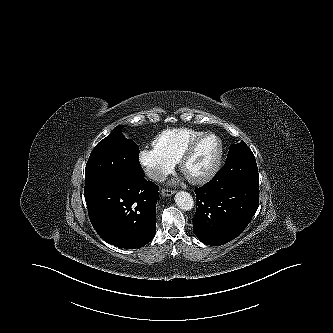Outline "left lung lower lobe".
<instances>
[{
    "label": "left lung lower lobe",
    "instance_id": "1",
    "mask_svg": "<svg viewBox=\"0 0 333 333\" xmlns=\"http://www.w3.org/2000/svg\"><path fill=\"white\" fill-rule=\"evenodd\" d=\"M222 167L204 186L197 188L193 228L205 244L219 246L238 237L259 205L258 185L237 180Z\"/></svg>",
    "mask_w": 333,
    "mask_h": 333
}]
</instances>
